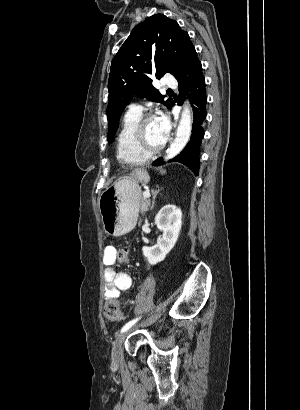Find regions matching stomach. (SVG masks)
<instances>
[{"mask_svg": "<svg viewBox=\"0 0 300 410\" xmlns=\"http://www.w3.org/2000/svg\"><path fill=\"white\" fill-rule=\"evenodd\" d=\"M148 181L147 172L137 169L131 176L119 178L101 194L98 206L107 235L121 236L135 227L141 200L138 183Z\"/></svg>", "mask_w": 300, "mask_h": 410, "instance_id": "obj_1", "label": "stomach"}]
</instances>
